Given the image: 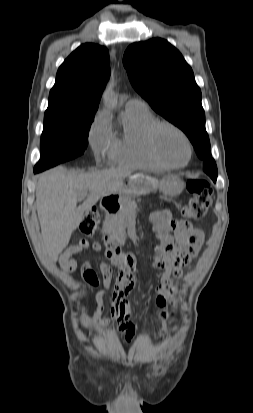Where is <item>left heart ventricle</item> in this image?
Segmentation results:
<instances>
[{
  "instance_id": "obj_1",
  "label": "left heart ventricle",
  "mask_w": 253,
  "mask_h": 413,
  "mask_svg": "<svg viewBox=\"0 0 253 413\" xmlns=\"http://www.w3.org/2000/svg\"><path fill=\"white\" fill-rule=\"evenodd\" d=\"M159 153L173 164H183L188 156V150L183 138L169 128H162L156 136Z\"/></svg>"
}]
</instances>
